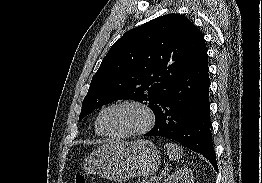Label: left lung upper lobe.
Masks as SVG:
<instances>
[{"instance_id":"obj_1","label":"left lung upper lobe","mask_w":262,"mask_h":183,"mask_svg":"<svg viewBox=\"0 0 262 183\" xmlns=\"http://www.w3.org/2000/svg\"><path fill=\"white\" fill-rule=\"evenodd\" d=\"M206 49L185 16L167 14L125 33L111 47L82 102L79 120L120 100L145 102L156 114L177 78Z\"/></svg>"}]
</instances>
